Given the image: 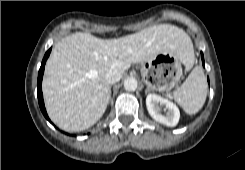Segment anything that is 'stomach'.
<instances>
[{"label": "stomach", "instance_id": "stomach-1", "mask_svg": "<svg viewBox=\"0 0 245 170\" xmlns=\"http://www.w3.org/2000/svg\"><path fill=\"white\" fill-rule=\"evenodd\" d=\"M182 63L176 52H163L145 61L141 66L143 81L149 90L168 92L182 78Z\"/></svg>", "mask_w": 245, "mask_h": 170}]
</instances>
